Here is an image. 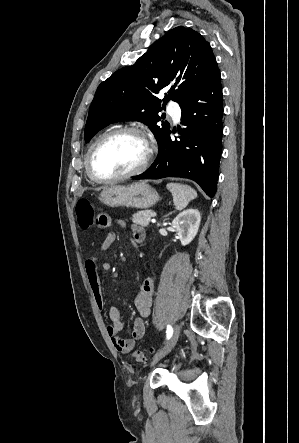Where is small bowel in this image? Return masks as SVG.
Masks as SVG:
<instances>
[{"instance_id": "c3829d8e", "label": "small bowel", "mask_w": 299, "mask_h": 443, "mask_svg": "<svg viewBox=\"0 0 299 443\" xmlns=\"http://www.w3.org/2000/svg\"><path fill=\"white\" fill-rule=\"evenodd\" d=\"M113 224H117L122 227L124 226L123 221L114 220L108 214H100L97 217V226L99 228H109L113 226ZM132 232L134 242L138 243L143 241L145 233L142 227L133 225ZM116 238L117 235L115 232L108 233L100 246L101 251L106 252L115 242ZM85 268L91 292L95 298L98 308L102 310L105 307V298L102 293L99 273L100 271H109L111 269V264L107 261H99L97 258L91 257L86 261ZM154 289L155 278L153 276H149L143 281L135 295L134 305L136 307L138 316L135 319L131 337H120L119 333L123 330L124 323L122 321L119 309L114 305H110L108 307L107 313L110 324L107 325L106 330L111 338L114 348L118 352L129 353L134 348L136 341L144 335L145 326L143 323V318L149 317L151 313Z\"/></svg>"}]
</instances>
